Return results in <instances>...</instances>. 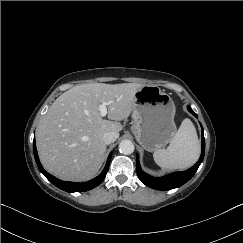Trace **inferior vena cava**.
Masks as SVG:
<instances>
[{"label": "inferior vena cava", "instance_id": "inferior-vena-cava-1", "mask_svg": "<svg viewBox=\"0 0 243 243\" xmlns=\"http://www.w3.org/2000/svg\"><path fill=\"white\" fill-rule=\"evenodd\" d=\"M116 139H117V134L115 132L110 131V132H105L103 134V140L107 145L115 142Z\"/></svg>", "mask_w": 243, "mask_h": 243}]
</instances>
